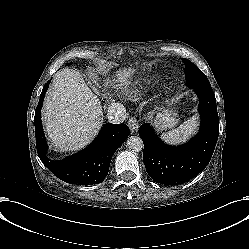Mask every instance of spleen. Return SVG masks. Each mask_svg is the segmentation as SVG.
Wrapping results in <instances>:
<instances>
[{
  "label": "spleen",
  "mask_w": 249,
  "mask_h": 249,
  "mask_svg": "<svg viewBox=\"0 0 249 249\" xmlns=\"http://www.w3.org/2000/svg\"><path fill=\"white\" fill-rule=\"evenodd\" d=\"M198 120L195 115L181 124L178 128L163 133L161 139L170 145H179L189 140L198 130Z\"/></svg>",
  "instance_id": "obj_1"
}]
</instances>
